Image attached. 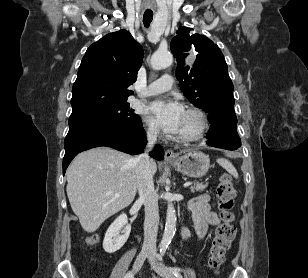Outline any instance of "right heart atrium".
<instances>
[{
    "mask_svg": "<svg viewBox=\"0 0 308 278\" xmlns=\"http://www.w3.org/2000/svg\"><path fill=\"white\" fill-rule=\"evenodd\" d=\"M147 135L151 139H156L160 135L158 127L150 121H147Z\"/></svg>",
    "mask_w": 308,
    "mask_h": 278,
    "instance_id": "obj_1",
    "label": "right heart atrium"
}]
</instances>
